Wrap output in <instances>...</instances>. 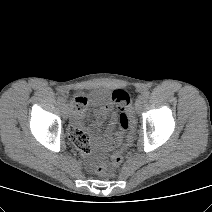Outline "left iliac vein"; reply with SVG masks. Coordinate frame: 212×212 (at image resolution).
Wrapping results in <instances>:
<instances>
[{
	"label": "left iliac vein",
	"instance_id": "left-iliac-vein-1",
	"mask_svg": "<svg viewBox=\"0 0 212 212\" xmlns=\"http://www.w3.org/2000/svg\"><path fill=\"white\" fill-rule=\"evenodd\" d=\"M145 100L143 97H138V99L135 102V110L137 113H141L143 106H144Z\"/></svg>",
	"mask_w": 212,
	"mask_h": 212
}]
</instances>
